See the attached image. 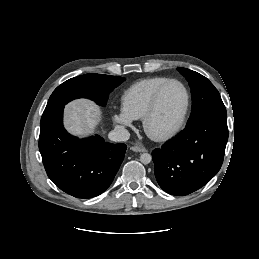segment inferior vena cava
<instances>
[{
    "instance_id": "1",
    "label": "inferior vena cava",
    "mask_w": 259,
    "mask_h": 259,
    "mask_svg": "<svg viewBox=\"0 0 259 259\" xmlns=\"http://www.w3.org/2000/svg\"><path fill=\"white\" fill-rule=\"evenodd\" d=\"M130 137V133L123 126H116L114 130H112L108 134V138L114 142L127 141Z\"/></svg>"
}]
</instances>
